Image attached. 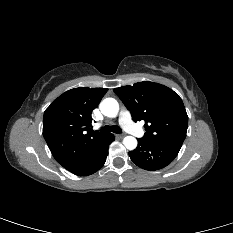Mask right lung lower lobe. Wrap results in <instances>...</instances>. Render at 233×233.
<instances>
[{
	"instance_id": "right-lung-lower-lobe-1",
	"label": "right lung lower lobe",
	"mask_w": 233,
	"mask_h": 233,
	"mask_svg": "<svg viewBox=\"0 0 233 233\" xmlns=\"http://www.w3.org/2000/svg\"><path fill=\"white\" fill-rule=\"evenodd\" d=\"M112 141H114V135L107 134L79 164L69 171L78 176H88L98 171L106 161Z\"/></svg>"
}]
</instances>
